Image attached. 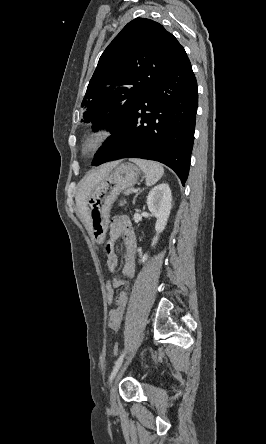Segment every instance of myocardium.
<instances>
[{
    "label": "myocardium",
    "mask_w": 266,
    "mask_h": 444,
    "mask_svg": "<svg viewBox=\"0 0 266 444\" xmlns=\"http://www.w3.org/2000/svg\"><path fill=\"white\" fill-rule=\"evenodd\" d=\"M113 131L108 126H99L89 131L81 144L82 153L93 155L101 150L112 138Z\"/></svg>",
    "instance_id": "f54148a6"
}]
</instances>
